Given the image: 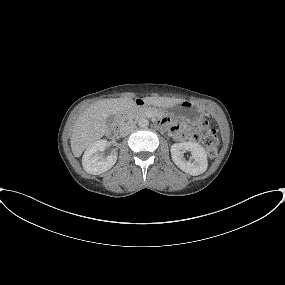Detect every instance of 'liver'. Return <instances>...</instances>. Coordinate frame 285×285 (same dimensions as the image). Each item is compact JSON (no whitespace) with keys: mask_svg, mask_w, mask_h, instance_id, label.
<instances>
[{"mask_svg":"<svg viewBox=\"0 0 285 285\" xmlns=\"http://www.w3.org/2000/svg\"><path fill=\"white\" fill-rule=\"evenodd\" d=\"M144 103L168 108L183 101L179 98L145 97ZM135 105L132 98L104 99L92 104L77 119L71 134V149L75 157L107 132L106 119L110 115L127 112Z\"/></svg>","mask_w":285,"mask_h":285,"instance_id":"liver-1","label":"liver"}]
</instances>
